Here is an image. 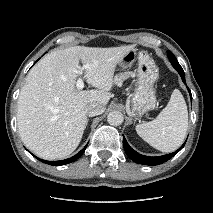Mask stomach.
I'll list each match as a JSON object with an SVG mask.
<instances>
[{"label":"stomach","mask_w":213,"mask_h":213,"mask_svg":"<svg viewBox=\"0 0 213 213\" xmlns=\"http://www.w3.org/2000/svg\"><path fill=\"white\" fill-rule=\"evenodd\" d=\"M137 61V84L132 94V111L135 116H142L156 106L154 83L159 76L158 67L145 51H129L118 63L123 69L131 67Z\"/></svg>","instance_id":"obj_1"}]
</instances>
